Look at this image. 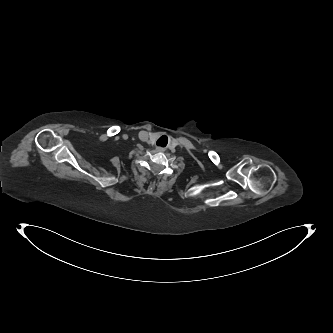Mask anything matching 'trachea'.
<instances>
[{
    "instance_id": "1",
    "label": "trachea",
    "mask_w": 333,
    "mask_h": 333,
    "mask_svg": "<svg viewBox=\"0 0 333 333\" xmlns=\"http://www.w3.org/2000/svg\"><path fill=\"white\" fill-rule=\"evenodd\" d=\"M167 142H168V138H167V136H161V137L157 140V145H158V146H161V147H164V146H166Z\"/></svg>"
}]
</instances>
